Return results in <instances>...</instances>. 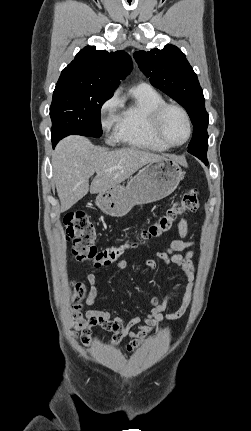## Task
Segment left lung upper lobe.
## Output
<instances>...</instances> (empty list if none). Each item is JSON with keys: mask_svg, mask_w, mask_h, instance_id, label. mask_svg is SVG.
I'll list each match as a JSON object with an SVG mask.
<instances>
[{"mask_svg": "<svg viewBox=\"0 0 251 431\" xmlns=\"http://www.w3.org/2000/svg\"><path fill=\"white\" fill-rule=\"evenodd\" d=\"M134 58L150 83L169 95L187 111L193 127L188 152L207 163L209 115L196 73L185 54L174 45L149 52L137 51Z\"/></svg>", "mask_w": 251, "mask_h": 431, "instance_id": "1", "label": "left lung upper lobe"}]
</instances>
